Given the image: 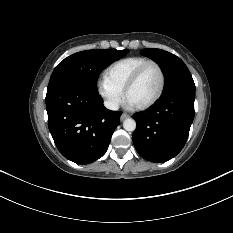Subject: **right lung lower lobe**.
Segmentation results:
<instances>
[{"instance_id": "98d812e1", "label": "right lung lower lobe", "mask_w": 233, "mask_h": 233, "mask_svg": "<svg viewBox=\"0 0 233 233\" xmlns=\"http://www.w3.org/2000/svg\"><path fill=\"white\" fill-rule=\"evenodd\" d=\"M46 109L56 147L77 164L94 162L105 154L122 114L106 109L98 92L66 83L48 87Z\"/></svg>"}]
</instances>
